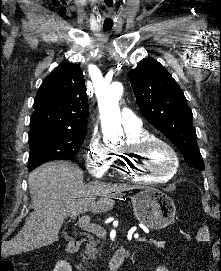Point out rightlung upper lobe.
Wrapping results in <instances>:
<instances>
[{"label": "right lung upper lobe", "mask_w": 221, "mask_h": 271, "mask_svg": "<svg viewBox=\"0 0 221 271\" xmlns=\"http://www.w3.org/2000/svg\"><path fill=\"white\" fill-rule=\"evenodd\" d=\"M87 116L88 99L81 68L63 62L43 80L37 92L30 131L86 132Z\"/></svg>", "instance_id": "obj_1"}]
</instances>
